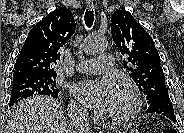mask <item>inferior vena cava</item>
Listing matches in <instances>:
<instances>
[{"mask_svg":"<svg viewBox=\"0 0 184 133\" xmlns=\"http://www.w3.org/2000/svg\"><path fill=\"white\" fill-rule=\"evenodd\" d=\"M70 133H88L89 123H88V111L83 107H72L69 110Z\"/></svg>","mask_w":184,"mask_h":133,"instance_id":"inferior-vena-cava-1","label":"inferior vena cava"}]
</instances>
